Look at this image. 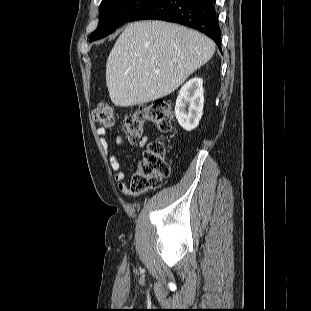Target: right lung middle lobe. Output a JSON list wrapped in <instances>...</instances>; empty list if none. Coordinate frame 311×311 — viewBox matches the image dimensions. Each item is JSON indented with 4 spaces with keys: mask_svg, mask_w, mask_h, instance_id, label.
Listing matches in <instances>:
<instances>
[{
    "mask_svg": "<svg viewBox=\"0 0 311 311\" xmlns=\"http://www.w3.org/2000/svg\"><path fill=\"white\" fill-rule=\"evenodd\" d=\"M153 0H102L99 11L100 20L97 29L90 35L89 41L101 39L145 7Z\"/></svg>",
    "mask_w": 311,
    "mask_h": 311,
    "instance_id": "1",
    "label": "right lung middle lobe"
}]
</instances>
